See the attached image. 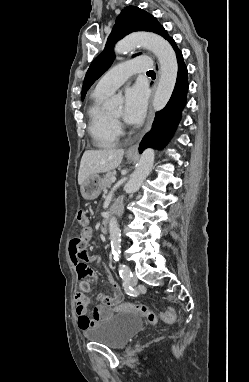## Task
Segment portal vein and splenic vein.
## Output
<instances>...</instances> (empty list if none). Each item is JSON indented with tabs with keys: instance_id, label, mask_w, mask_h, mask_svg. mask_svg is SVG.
<instances>
[{
	"instance_id": "portal-vein-and-splenic-vein-1",
	"label": "portal vein and splenic vein",
	"mask_w": 249,
	"mask_h": 382,
	"mask_svg": "<svg viewBox=\"0 0 249 382\" xmlns=\"http://www.w3.org/2000/svg\"><path fill=\"white\" fill-rule=\"evenodd\" d=\"M115 181H116V177H113V178L111 179V182H112V183H115Z\"/></svg>"
}]
</instances>
